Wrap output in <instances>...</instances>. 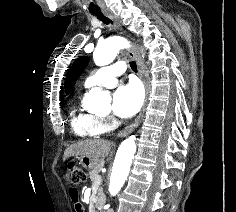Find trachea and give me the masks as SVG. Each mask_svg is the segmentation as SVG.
Masks as SVG:
<instances>
[{"label":"trachea","instance_id":"1","mask_svg":"<svg viewBox=\"0 0 236 212\" xmlns=\"http://www.w3.org/2000/svg\"><path fill=\"white\" fill-rule=\"evenodd\" d=\"M92 14L105 24L111 23V21L102 12H92ZM130 67L134 72H137V65L135 62H130Z\"/></svg>","mask_w":236,"mask_h":212}]
</instances>
